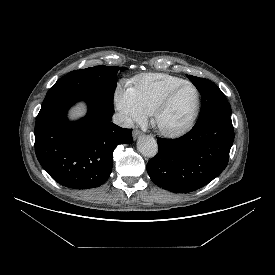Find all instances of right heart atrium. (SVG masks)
Segmentation results:
<instances>
[{"label":"right heart atrium","mask_w":275,"mask_h":275,"mask_svg":"<svg viewBox=\"0 0 275 275\" xmlns=\"http://www.w3.org/2000/svg\"><path fill=\"white\" fill-rule=\"evenodd\" d=\"M114 100L116 108L126 124L141 121L147 115L132 86H119L115 91Z\"/></svg>","instance_id":"1"}]
</instances>
